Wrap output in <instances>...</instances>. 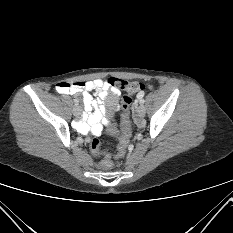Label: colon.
<instances>
[{"mask_svg": "<svg viewBox=\"0 0 233 233\" xmlns=\"http://www.w3.org/2000/svg\"><path fill=\"white\" fill-rule=\"evenodd\" d=\"M109 84L117 91L123 92L122 106L124 109L123 122L121 124V134L118 140L117 152L114 156L109 153L105 154V159L102 161L103 168H109L112 164V158H122L127 150L131 138V124L129 119V109L132 104V96L144 89V85L139 82H128L122 79L110 78ZM90 150L94 156L103 155L101 143L99 139L94 138L90 143Z\"/></svg>", "mask_w": 233, "mask_h": 233, "instance_id": "obj_1", "label": "colon"}]
</instances>
